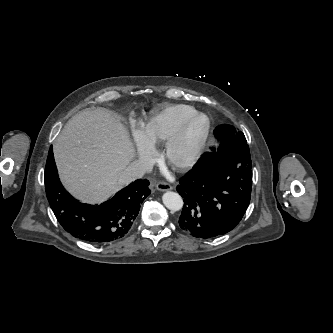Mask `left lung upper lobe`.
Wrapping results in <instances>:
<instances>
[{
    "mask_svg": "<svg viewBox=\"0 0 333 333\" xmlns=\"http://www.w3.org/2000/svg\"><path fill=\"white\" fill-rule=\"evenodd\" d=\"M242 144H247V141L245 139L244 135H240V136H235L233 138H231L228 141H225L223 144V147L227 150V151H232L233 149H235L236 147L242 145Z\"/></svg>",
    "mask_w": 333,
    "mask_h": 333,
    "instance_id": "left-lung-upper-lobe-1",
    "label": "left lung upper lobe"
}]
</instances>
